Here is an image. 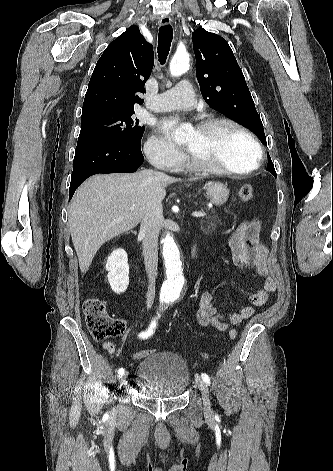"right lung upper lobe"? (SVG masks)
I'll use <instances>...</instances> for the list:
<instances>
[{
	"label": "right lung upper lobe",
	"mask_w": 333,
	"mask_h": 471,
	"mask_svg": "<svg viewBox=\"0 0 333 471\" xmlns=\"http://www.w3.org/2000/svg\"><path fill=\"white\" fill-rule=\"evenodd\" d=\"M154 63L153 46L130 26L112 41L98 60L85 95L81 118L133 109L142 104L138 93H144Z\"/></svg>",
	"instance_id": "right-lung-upper-lobe-1"
}]
</instances>
